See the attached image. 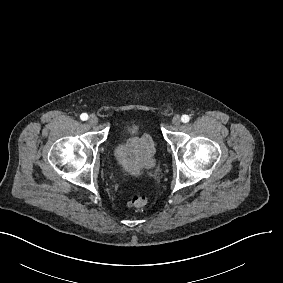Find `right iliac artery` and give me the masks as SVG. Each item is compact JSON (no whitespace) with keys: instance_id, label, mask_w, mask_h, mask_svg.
I'll return each mask as SVG.
<instances>
[{"instance_id":"1","label":"right iliac artery","mask_w":283,"mask_h":283,"mask_svg":"<svg viewBox=\"0 0 283 283\" xmlns=\"http://www.w3.org/2000/svg\"><path fill=\"white\" fill-rule=\"evenodd\" d=\"M80 118H81V120L85 121V120L88 119V115H87L86 113H82V114L80 115Z\"/></svg>"}]
</instances>
